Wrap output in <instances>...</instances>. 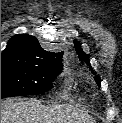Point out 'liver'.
<instances>
[{"label":"liver","mask_w":122,"mask_h":123,"mask_svg":"<svg viewBox=\"0 0 122 123\" xmlns=\"http://www.w3.org/2000/svg\"><path fill=\"white\" fill-rule=\"evenodd\" d=\"M1 123H96L88 113L70 105L45 106L30 99L1 103Z\"/></svg>","instance_id":"1"}]
</instances>
